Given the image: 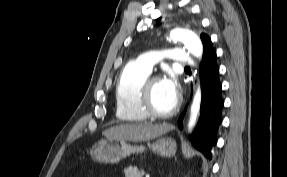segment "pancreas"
Listing matches in <instances>:
<instances>
[{"label":"pancreas","instance_id":"obj_1","mask_svg":"<svg viewBox=\"0 0 287 177\" xmlns=\"http://www.w3.org/2000/svg\"><path fill=\"white\" fill-rule=\"evenodd\" d=\"M125 177H143L144 171L137 167H128L124 169Z\"/></svg>","mask_w":287,"mask_h":177}]
</instances>
